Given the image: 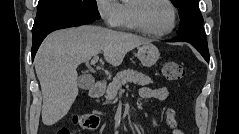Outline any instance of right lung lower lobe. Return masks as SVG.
Wrapping results in <instances>:
<instances>
[{
    "label": "right lung lower lobe",
    "mask_w": 239,
    "mask_h": 134,
    "mask_svg": "<svg viewBox=\"0 0 239 134\" xmlns=\"http://www.w3.org/2000/svg\"><path fill=\"white\" fill-rule=\"evenodd\" d=\"M94 21L95 19L93 18L83 16H65L47 23L38 31L32 33L33 34L32 60L34 59V56L43 39L52 31L57 29L79 26L83 24H89Z\"/></svg>",
    "instance_id": "1"
}]
</instances>
